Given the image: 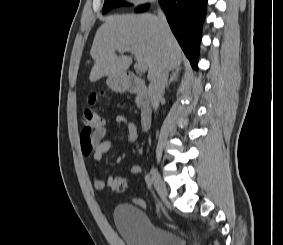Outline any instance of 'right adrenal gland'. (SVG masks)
Masks as SVG:
<instances>
[{
  "label": "right adrenal gland",
  "instance_id": "1",
  "mask_svg": "<svg viewBox=\"0 0 283 245\" xmlns=\"http://www.w3.org/2000/svg\"><path fill=\"white\" fill-rule=\"evenodd\" d=\"M181 69L180 68H177L175 69L174 71H172V74L169 78V81L166 83V88L169 89V86L172 82L174 81H178V76H179V73H180Z\"/></svg>",
  "mask_w": 283,
  "mask_h": 245
}]
</instances>
